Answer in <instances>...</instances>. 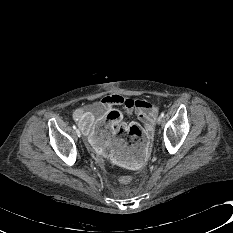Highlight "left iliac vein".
<instances>
[{
  "mask_svg": "<svg viewBox=\"0 0 233 233\" xmlns=\"http://www.w3.org/2000/svg\"><path fill=\"white\" fill-rule=\"evenodd\" d=\"M156 122H157V124H161V122H162V117L159 116V117L157 118Z\"/></svg>",
  "mask_w": 233,
  "mask_h": 233,
  "instance_id": "4c4485c4",
  "label": "left iliac vein"
}]
</instances>
